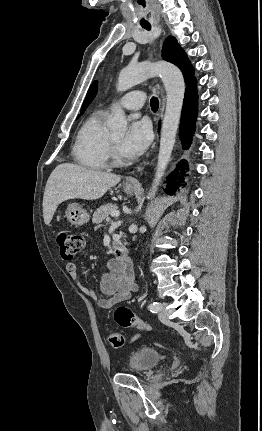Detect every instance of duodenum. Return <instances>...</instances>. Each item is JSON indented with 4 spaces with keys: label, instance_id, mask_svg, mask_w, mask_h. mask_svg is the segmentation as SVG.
<instances>
[{
    "label": "duodenum",
    "instance_id": "duodenum-1",
    "mask_svg": "<svg viewBox=\"0 0 262 431\" xmlns=\"http://www.w3.org/2000/svg\"><path fill=\"white\" fill-rule=\"evenodd\" d=\"M119 256L121 259L128 261L129 255H128V251L125 248H121L119 250Z\"/></svg>",
    "mask_w": 262,
    "mask_h": 431
}]
</instances>
